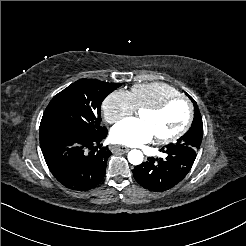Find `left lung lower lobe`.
<instances>
[{
  "instance_id": "obj_1",
  "label": "left lung lower lobe",
  "mask_w": 246,
  "mask_h": 246,
  "mask_svg": "<svg viewBox=\"0 0 246 246\" xmlns=\"http://www.w3.org/2000/svg\"><path fill=\"white\" fill-rule=\"evenodd\" d=\"M160 151L166 154V158L150 157L133 169L136 181L155 192H163L178 184L190 171L197 154L186 146L168 145Z\"/></svg>"
}]
</instances>
